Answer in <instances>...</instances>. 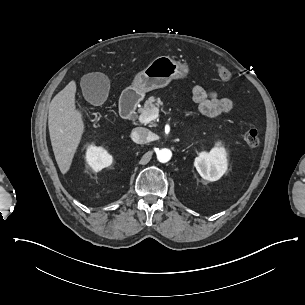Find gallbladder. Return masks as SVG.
I'll list each match as a JSON object with an SVG mask.
<instances>
[{
    "label": "gallbladder",
    "instance_id": "bac80fb5",
    "mask_svg": "<svg viewBox=\"0 0 305 305\" xmlns=\"http://www.w3.org/2000/svg\"><path fill=\"white\" fill-rule=\"evenodd\" d=\"M80 86L85 100L94 106H100L107 100L110 80L103 73L93 72L82 76Z\"/></svg>",
    "mask_w": 305,
    "mask_h": 305
}]
</instances>
